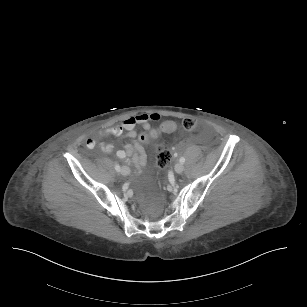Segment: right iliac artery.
I'll return each instance as SVG.
<instances>
[{
	"instance_id": "obj_1",
	"label": "right iliac artery",
	"mask_w": 307,
	"mask_h": 307,
	"mask_svg": "<svg viewBox=\"0 0 307 307\" xmlns=\"http://www.w3.org/2000/svg\"><path fill=\"white\" fill-rule=\"evenodd\" d=\"M115 170H116L117 172H120V171H121V168H120V166H119L118 164H115Z\"/></svg>"
}]
</instances>
